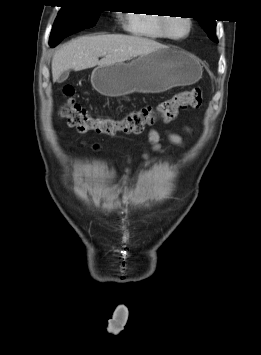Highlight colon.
<instances>
[{"instance_id":"1","label":"colon","mask_w":261,"mask_h":355,"mask_svg":"<svg viewBox=\"0 0 261 355\" xmlns=\"http://www.w3.org/2000/svg\"><path fill=\"white\" fill-rule=\"evenodd\" d=\"M66 97L61 107V115L70 127L79 132H95L103 135L138 134L146 126L154 124L158 119L172 121L180 110L198 108L203 97L200 88H192L178 92L155 106L148 105L133 110L121 119L94 117L90 115L74 98V89L70 85L63 88Z\"/></svg>"}]
</instances>
